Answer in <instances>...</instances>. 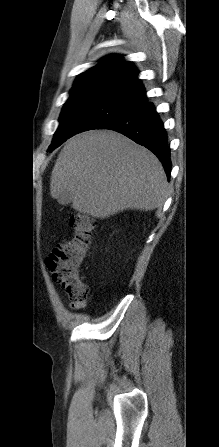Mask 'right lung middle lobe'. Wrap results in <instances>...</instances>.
<instances>
[{
    "label": "right lung middle lobe",
    "mask_w": 219,
    "mask_h": 447,
    "mask_svg": "<svg viewBox=\"0 0 219 447\" xmlns=\"http://www.w3.org/2000/svg\"><path fill=\"white\" fill-rule=\"evenodd\" d=\"M142 103L144 102L141 99L112 88H73L48 150L52 151L79 132L97 129L108 120L133 110Z\"/></svg>",
    "instance_id": "right-lung-middle-lobe-1"
}]
</instances>
